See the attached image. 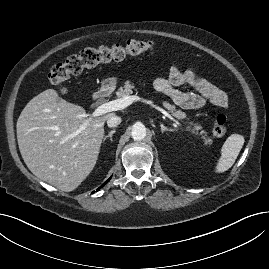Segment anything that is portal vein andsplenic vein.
<instances>
[{
	"mask_svg": "<svg viewBox=\"0 0 269 269\" xmlns=\"http://www.w3.org/2000/svg\"><path fill=\"white\" fill-rule=\"evenodd\" d=\"M135 101H142L146 104H149L151 107L155 108L156 110L160 111L164 116L175 122L177 125H180V123L169 114L165 109L161 108L160 106L155 105L152 101L140 98L139 96H125L120 99H116L113 101L106 102L104 104H101L98 106L94 112L91 114L89 120H87L79 129V132L86 129L88 122L95 117H99L103 114H106L108 112L122 110L126 108L127 106L131 105Z\"/></svg>",
	"mask_w": 269,
	"mask_h": 269,
	"instance_id": "obj_1",
	"label": "portal vein and splenic vein"
}]
</instances>
